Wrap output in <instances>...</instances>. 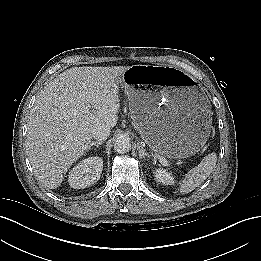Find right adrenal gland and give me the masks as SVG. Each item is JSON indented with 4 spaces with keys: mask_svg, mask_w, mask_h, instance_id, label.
Wrapping results in <instances>:
<instances>
[{
    "mask_svg": "<svg viewBox=\"0 0 261 261\" xmlns=\"http://www.w3.org/2000/svg\"><path fill=\"white\" fill-rule=\"evenodd\" d=\"M102 144H103V141H93V142L89 145L88 150H90L92 146H96V147L98 148V147H99L100 145H102Z\"/></svg>",
    "mask_w": 261,
    "mask_h": 261,
    "instance_id": "2a0ac1e0",
    "label": "right adrenal gland"
}]
</instances>
